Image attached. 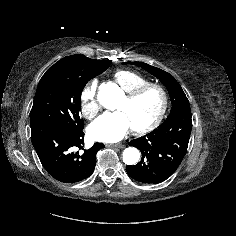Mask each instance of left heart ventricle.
Instances as JSON below:
<instances>
[{"mask_svg": "<svg viewBox=\"0 0 236 236\" xmlns=\"http://www.w3.org/2000/svg\"><path fill=\"white\" fill-rule=\"evenodd\" d=\"M161 101L160 93L155 89H150L133 101L122 98L116 110L126 114L132 128H138L154 120L161 107Z\"/></svg>", "mask_w": 236, "mask_h": 236, "instance_id": "1", "label": "left heart ventricle"}]
</instances>
